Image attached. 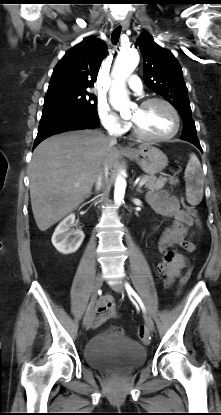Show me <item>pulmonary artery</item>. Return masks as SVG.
I'll use <instances>...</instances> for the list:
<instances>
[{"instance_id": "e3ab8cb5", "label": "pulmonary artery", "mask_w": 221, "mask_h": 415, "mask_svg": "<svg viewBox=\"0 0 221 415\" xmlns=\"http://www.w3.org/2000/svg\"><path fill=\"white\" fill-rule=\"evenodd\" d=\"M128 84L135 92L140 93L142 91V82L138 76L132 75L128 79Z\"/></svg>"}]
</instances>
